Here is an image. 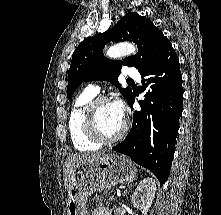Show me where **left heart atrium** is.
I'll return each mask as SVG.
<instances>
[{
    "mask_svg": "<svg viewBox=\"0 0 221 215\" xmlns=\"http://www.w3.org/2000/svg\"><path fill=\"white\" fill-rule=\"evenodd\" d=\"M112 109L116 116L123 121L124 118V105L123 103L119 100L116 99L113 102H111Z\"/></svg>",
    "mask_w": 221,
    "mask_h": 215,
    "instance_id": "39dd6f15",
    "label": "left heart atrium"
}]
</instances>
